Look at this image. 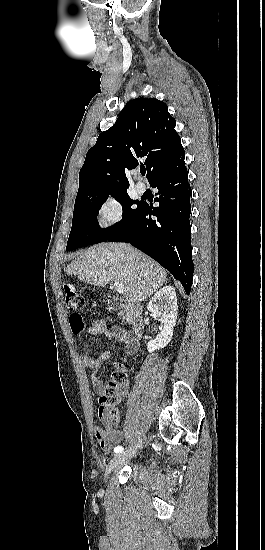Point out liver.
<instances>
[{
	"label": "liver",
	"instance_id": "1",
	"mask_svg": "<svg viewBox=\"0 0 265 550\" xmlns=\"http://www.w3.org/2000/svg\"><path fill=\"white\" fill-rule=\"evenodd\" d=\"M66 274L98 287L122 283L130 303L150 297L167 277L166 270L153 259L124 243H100L88 248L67 266Z\"/></svg>",
	"mask_w": 265,
	"mask_h": 550
}]
</instances>
